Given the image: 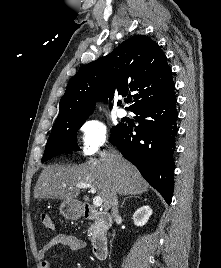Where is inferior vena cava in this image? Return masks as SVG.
<instances>
[{
	"instance_id": "1",
	"label": "inferior vena cava",
	"mask_w": 221,
	"mask_h": 268,
	"mask_svg": "<svg viewBox=\"0 0 221 268\" xmlns=\"http://www.w3.org/2000/svg\"><path fill=\"white\" fill-rule=\"evenodd\" d=\"M111 213L112 216L116 219L118 217V199H117V195H114L112 202H111Z\"/></svg>"
}]
</instances>
